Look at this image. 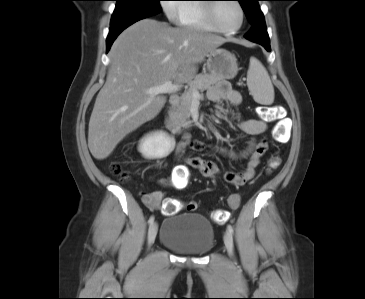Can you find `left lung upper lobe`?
Here are the masks:
<instances>
[{
	"label": "left lung upper lobe",
	"mask_w": 365,
	"mask_h": 299,
	"mask_svg": "<svg viewBox=\"0 0 365 299\" xmlns=\"http://www.w3.org/2000/svg\"><path fill=\"white\" fill-rule=\"evenodd\" d=\"M240 2L249 23L253 26L264 21V16L258 5L260 0H237Z\"/></svg>",
	"instance_id": "5c2ea615"
}]
</instances>
